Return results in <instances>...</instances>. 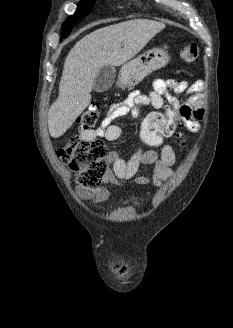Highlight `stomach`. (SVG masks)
<instances>
[{
    "mask_svg": "<svg viewBox=\"0 0 233 328\" xmlns=\"http://www.w3.org/2000/svg\"><path fill=\"white\" fill-rule=\"evenodd\" d=\"M169 62L168 53L163 49H151L125 63L120 70L119 86L124 89L140 83L147 75Z\"/></svg>",
    "mask_w": 233,
    "mask_h": 328,
    "instance_id": "stomach-1",
    "label": "stomach"
}]
</instances>
